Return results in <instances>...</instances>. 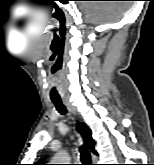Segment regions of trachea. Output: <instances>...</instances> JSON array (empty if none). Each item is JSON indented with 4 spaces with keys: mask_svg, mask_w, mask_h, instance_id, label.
I'll return each mask as SVG.
<instances>
[{
    "mask_svg": "<svg viewBox=\"0 0 154 165\" xmlns=\"http://www.w3.org/2000/svg\"><path fill=\"white\" fill-rule=\"evenodd\" d=\"M51 100L54 103V105L59 113H61V114L66 113V108L62 104V101L60 98H52ZM80 152H81L82 165H91V155H90V152L88 151V149L85 146H82L80 148Z\"/></svg>",
    "mask_w": 154,
    "mask_h": 165,
    "instance_id": "3493384b",
    "label": "trachea"
}]
</instances>
